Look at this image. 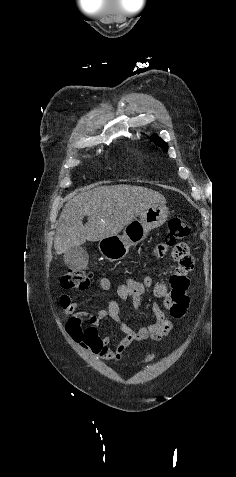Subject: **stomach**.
<instances>
[{
  "mask_svg": "<svg viewBox=\"0 0 236 477\" xmlns=\"http://www.w3.org/2000/svg\"><path fill=\"white\" fill-rule=\"evenodd\" d=\"M169 211L165 205H154L146 209L139 219L129 223L123 235L109 236L99 241L98 248L101 254L109 261L123 259L131 245H136L146 239L149 232L164 224Z\"/></svg>",
  "mask_w": 236,
  "mask_h": 477,
  "instance_id": "0dacf381",
  "label": "stomach"
}]
</instances>
